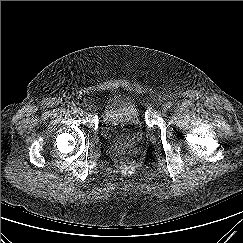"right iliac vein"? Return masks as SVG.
Wrapping results in <instances>:
<instances>
[{"label": "right iliac vein", "instance_id": "right-iliac-vein-1", "mask_svg": "<svg viewBox=\"0 0 243 243\" xmlns=\"http://www.w3.org/2000/svg\"><path fill=\"white\" fill-rule=\"evenodd\" d=\"M76 115H77V116H82V115H83V111H82V109H77V111H76Z\"/></svg>", "mask_w": 243, "mask_h": 243}]
</instances>
